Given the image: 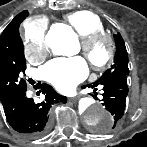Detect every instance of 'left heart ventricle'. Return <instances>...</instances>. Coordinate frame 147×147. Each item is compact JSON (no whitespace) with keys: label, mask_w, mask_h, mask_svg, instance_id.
Masks as SVG:
<instances>
[{"label":"left heart ventricle","mask_w":147,"mask_h":147,"mask_svg":"<svg viewBox=\"0 0 147 147\" xmlns=\"http://www.w3.org/2000/svg\"><path fill=\"white\" fill-rule=\"evenodd\" d=\"M102 52H103V48H102V47H100V48L98 49L97 53H98L99 55H101V54H102Z\"/></svg>","instance_id":"1"}]
</instances>
